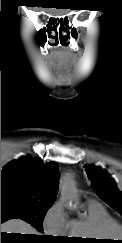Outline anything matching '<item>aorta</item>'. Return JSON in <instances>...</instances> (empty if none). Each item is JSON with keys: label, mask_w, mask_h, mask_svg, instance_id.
<instances>
[{"label": "aorta", "mask_w": 122, "mask_h": 243, "mask_svg": "<svg viewBox=\"0 0 122 243\" xmlns=\"http://www.w3.org/2000/svg\"><path fill=\"white\" fill-rule=\"evenodd\" d=\"M61 197L70 210H74L77 204V195L74 180L71 176L65 175L60 181Z\"/></svg>", "instance_id": "aorta-1"}]
</instances>
